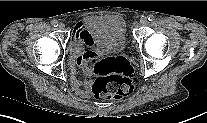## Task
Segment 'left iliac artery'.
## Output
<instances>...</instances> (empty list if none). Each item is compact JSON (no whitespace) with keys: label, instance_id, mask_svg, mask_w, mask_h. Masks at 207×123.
Returning <instances> with one entry per match:
<instances>
[{"label":"left iliac artery","instance_id":"obj_1","mask_svg":"<svg viewBox=\"0 0 207 123\" xmlns=\"http://www.w3.org/2000/svg\"><path fill=\"white\" fill-rule=\"evenodd\" d=\"M147 18H148L149 21H153L154 20V15L150 14V15H148Z\"/></svg>","mask_w":207,"mask_h":123}]
</instances>
